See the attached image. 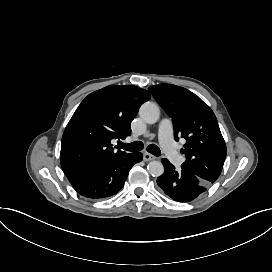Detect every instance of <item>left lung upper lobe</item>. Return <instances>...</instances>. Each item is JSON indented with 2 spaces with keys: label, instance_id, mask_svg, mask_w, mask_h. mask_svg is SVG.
I'll list each match as a JSON object with an SVG mask.
<instances>
[{
  "label": "left lung upper lobe",
  "instance_id": "obj_1",
  "mask_svg": "<svg viewBox=\"0 0 272 272\" xmlns=\"http://www.w3.org/2000/svg\"><path fill=\"white\" fill-rule=\"evenodd\" d=\"M156 100L173 119L175 140L186 139V161L181 168L212 184L219 177L226 145L217 119L211 110L191 91L172 84L149 87Z\"/></svg>",
  "mask_w": 272,
  "mask_h": 272
}]
</instances>
